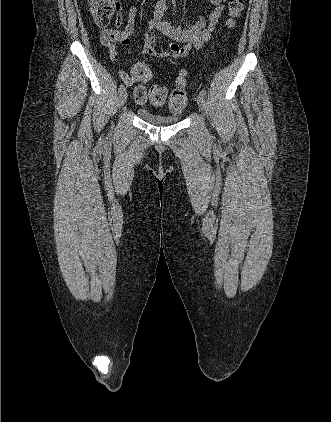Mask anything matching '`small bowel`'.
Instances as JSON below:
<instances>
[{
	"label": "small bowel",
	"instance_id": "1",
	"mask_svg": "<svg viewBox=\"0 0 331 422\" xmlns=\"http://www.w3.org/2000/svg\"><path fill=\"white\" fill-rule=\"evenodd\" d=\"M225 1L226 0H209L213 5V10L208 17L205 19L203 16H199L196 23L194 25H189L185 30L175 29L164 22L163 17L166 10V4L164 2L158 3L152 19L147 24L142 53L145 56L155 59L172 58L174 60H179L187 57L192 52L201 49L210 40L212 33L224 13ZM137 12L138 9L135 6H132L129 9L127 24L124 29H106L100 32L101 42L108 46L109 57L112 61L118 59L119 48L122 45L130 43L131 36L134 33ZM119 23L120 17L118 18V24ZM157 32L162 33L171 40L168 43L169 50H157L155 48ZM180 44L183 45L181 46ZM119 77L126 86L131 87L135 85V90L141 86L139 85L141 81L133 74L129 75L124 71H119ZM146 99L137 101L139 103H144ZM150 101L153 105L157 106L153 100L150 99Z\"/></svg>",
	"mask_w": 331,
	"mask_h": 422
}]
</instances>
